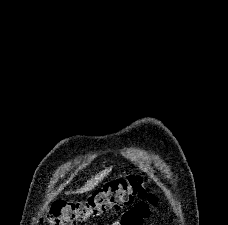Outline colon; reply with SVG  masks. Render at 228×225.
Segmentation results:
<instances>
[{"mask_svg":"<svg viewBox=\"0 0 228 225\" xmlns=\"http://www.w3.org/2000/svg\"><path fill=\"white\" fill-rule=\"evenodd\" d=\"M136 199L158 202L141 176L123 177L100 187L83 201H54L42 220L47 225H78L109 210L128 207Z\"/></svg>","mask_w":228,"mask_h":225,"instance_id":"obj_1","label":"colon"}]
</instances>
